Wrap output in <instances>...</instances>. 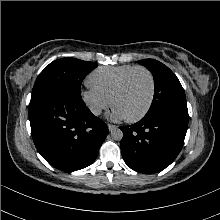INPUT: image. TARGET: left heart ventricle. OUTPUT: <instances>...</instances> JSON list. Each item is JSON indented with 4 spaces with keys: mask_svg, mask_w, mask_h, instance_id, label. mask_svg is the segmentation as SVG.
<instances>
[{
    "mask_svg": "<svg viewBox=\"0 0 220 220\" xmlns=\"http://www.w3.org/2000/svg\"><path fill=\"white\" fill-rule=\"evenodd\" d=\"M151 91L148 75L143 71L136 72L124 90L115 98L114 106L127 117H134L146 107Z\"/></svg>",
    "mask_w": 220,
    "mask_h": 220,
    "instance_id": "1",
    "label": "left heart ventricle"
}]
</instances>
